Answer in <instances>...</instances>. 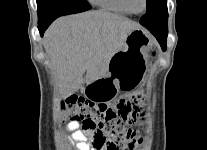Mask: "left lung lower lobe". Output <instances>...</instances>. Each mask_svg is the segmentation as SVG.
I'll return each instance as SVG.
<instances>
[{
	"instance_id": "0a47b994",
	"label": "left lung lower lobe",
	"mask_w": 207,
	"mask_h": 150,
	"mask_svg": "<svg viewBox=\"0 0 207 150\" xmlns=\"http://www.w3.org/2000/svg\"><path fill=\"white\" fill-rule=\"evenodd\" d=\"M150 32L156 37L160 43L163 51L166 50V39L168 34V28H148Z\"/></svg>"
}]
</instances>
